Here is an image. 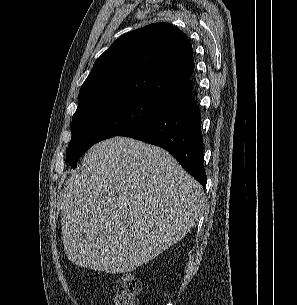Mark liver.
I'll use <instances>...</instances> for the list:
<instances>
[{
	"instance_id": "1",
	"label": "liver",
	"mask_w": 297,
	"mask_h": 305,
	"mask_svg": "<svg viewBox=\"0 0 297 305\" xmlns=\"http://www.w3.org/2000/svg\"><path fill=\"white\" fill-rule=\"evenodd\" d=\"M84 166L61 198L64 251L78 266L132 272L184 238L204 208L202 186L160 147L117 136L92 146Z\"/></svg>"
}]
</instances>
